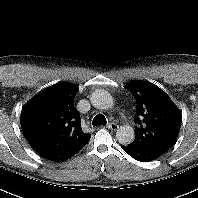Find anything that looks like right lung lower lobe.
<instances>
[{
	"instance_id": "obj_1",
	"label": "right lung lower lobe",
	"mask_w": 198,
	"mask_h": 198,
	"mask_svg": "<svg viewBox=\"0 0 198 198\" xmlns=\"http://www.w3.org/2000/svg\"><path fill=\"white\" fill-rule=\"evenodd\" d=\"M89 141L84 143H80L74 145L69 148L59 149V150H38V154L42 157L54 161V162H62L65 161L72 156H74L77 152H79Z\"/></svg>"
}]
</instances>
